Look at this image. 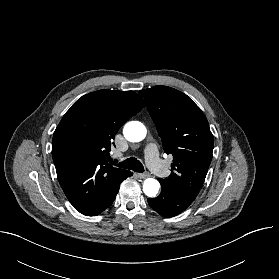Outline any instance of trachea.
I'll return each instance as SVG.
<instances>
[{
	"label": "trachea",
	"mask_w": 279,
	"mask_h": 279,
	"mask_svg": "<svg viewBox=\"0 0 279 279\" xmlns=\"http://www.w3.org/2000/svg\"><path fill=\"white\" fill-rule=\"evenodd\" d=\"M118 167L133 170L135 172H144L142 163L134 157L128 158L117 164Z\"/></svg>",
	"instance_id": "obj_1"
}]
</instances>
